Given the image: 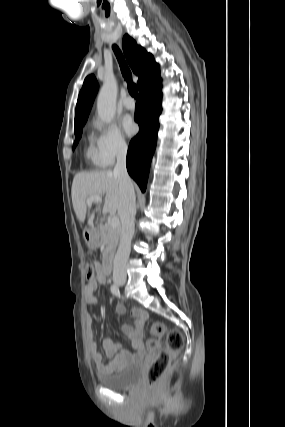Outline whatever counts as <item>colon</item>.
Returning a JSON list of instances; mask_svg holds the SVG:
<instances>
[{
    "instance_id": "5ec220e1",
    "label": "colon",
    "mask_w": 285,
    "mask_h": 427,
    "mask_svg": "<svg viewBox=\"0 0 285 427\" xmlns=\"http://www.w3.org/2000/svg\"><path fill=\"white\" fill-rule=\"evenodd\" d=\"M85 275L87 280L92 281L96 277L95 266L87 263L85 266ZM165 335V349L157 351L159 340ZM183 346V337L179 330L168 329L160 322H154L149 328V337L147 339V350L150 353H155V357L151 362L146 375L148 385H156L164 373L166 372L171 359L177 351Z\"/></svg>"
}]
</instances>
